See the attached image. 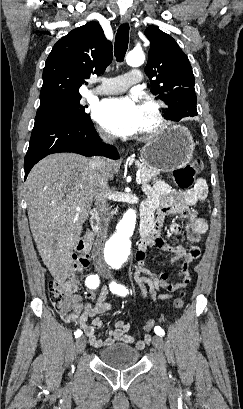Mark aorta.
Segmentation results:
<instances>
[{
  "instance_id": "1",
  "label": "aorta",
  "mask_w": 243,
  "mask_h": 409,
  "mask_svg": "<svg viewBox=\"0 0 243 409\" xmlns=\"http://www.w3.org/2000/svg\"><path fill=\"white\" fill-rule=\"evenodd\" d=\"M145 56L141 51H131L127 57L128 65L138 67L144 63ZM136 225V212L129 208L123 218L117 225L116 232L108 241V249L112 255L118 257H126L130 253V237L132 236Z\"/></svg>"
}]
</instances>
